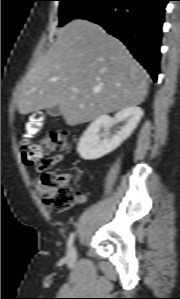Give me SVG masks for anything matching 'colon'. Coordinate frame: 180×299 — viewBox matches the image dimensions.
I'll return each instance as SVG.
<instances>
[{
  "label": "colon",
  "instance_id": "5ec220e1",
  "mask_svg": "<svg viewBox=\"0 0 180 299\" xmlns=\"http://www.w3.org/2000/svg\"><path fill=\"white\" fill-rule=\"evenodd\" d=\"M43 127V115L41 112H34L30 115L25 125V133L32 137ZM67 136L62 130L49 131L40 141L34 142L26 138L21 143L22 159L28 166L38 164L46 154L56 152H67L69 150ZM44 186L43 203L53 211L60 212L71 208L76 200L77 194L69 185L64 174H44L42 176Z\"/></svg>",
  "mask_w": 180,
  "mask_h": 299
}]
</instances>
